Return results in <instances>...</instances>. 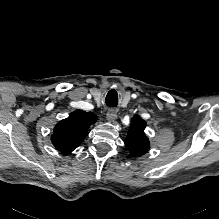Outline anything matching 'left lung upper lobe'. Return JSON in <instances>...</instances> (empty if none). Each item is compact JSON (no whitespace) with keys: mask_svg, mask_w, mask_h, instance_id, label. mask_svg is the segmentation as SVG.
<instances>
[{"mask_svg":"<svg viewBox=\"0 0 219 219\" xmlns=\"http://www.w3.org/2000/svg\"><path fill=\"white\" fill-rule=\"evenodd\" d=\"M146 122L138 115L132 118V124L128 131L125 145L131 157H139L150 149L149 139L144 133Z\"/></svg>","mask_w":219,"mask_h":219,"instance_id":"5c2ea615","label":"left lung upper lobe"}]
</instances>
